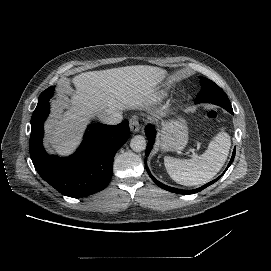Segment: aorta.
I'll return each instance as SVG.
<instances>
[{"instance_id":"762f6f07","label":"aorta","mask_w":271,"mask_h":271,"mask_svg":"<svg viewBox=\"0 0 271 271\" xmlns=\"http://www.w3.org/2000/svg\"><path fill=\"white\" fill-rule=\"evenodd\" d=\"M130 147L135 152H141L146 149V140L141 135L134 136L130 141Z\"/></svg>"}]
</instances>
